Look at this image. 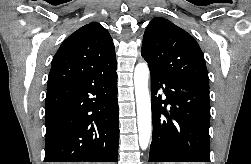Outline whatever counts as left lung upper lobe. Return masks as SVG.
Listing matches in <instances>:
<instances>
[{"mask_svg":"<svg viewBox=\"0 0 251 164\" xmlns=\"http://www.w3.org/2000/svg\"><path fill=\"white\" fill-rule=\"evenodd\" d=\"M141 54L150 69L209 88L208 72L198 43L169 20L161 17L151 20L144 33Z\"/></svg>","mask_w":251,"mask_h":164,"instance_id":"obj_1","label":"left lung upper lobe"}]
</instances>
